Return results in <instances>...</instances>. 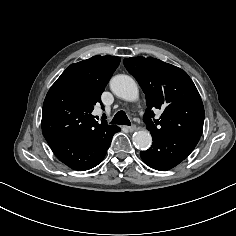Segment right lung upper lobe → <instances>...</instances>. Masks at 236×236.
<instances>
[{
	"instance_id": "cb5924a9",
	"label": "right lung upper lobe",
	"mask_w": 236,
	"mask_h": 236,
	"mask_svg": "<svg viewBox=\"0 0 236 236\" xmlns=\"http://www.w3.org/2000/svg\"><path fill=\"white\" fill-rule=\"evenodd\" d=\"M121 58L93 56L66 68L47 93L43 104L42 133L48 141L92 137L113 125L98 123L91 115L94 105Z\"/></svg>"
}]
</instances>
